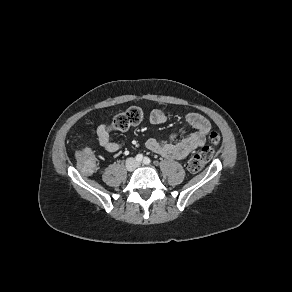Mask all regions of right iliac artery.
<instances>
[{
	"label": "right iliac artery",
	"mask_w": 292,
	"mask_h": 292,
	"mask_svg": "<svg viewBox=\"0 0 292 292\" xmlns=\"http://www.w3.org/2000/svg\"><path fill=\"white\" fill-rule=\"evenodd\" d=\"M136 160H137L138 162H141V161L143 160V155H142V154H138V155L136 156Z\"/></svg>",
	"instance_id": "right-iliac-artery-1"
}]
</instances>
